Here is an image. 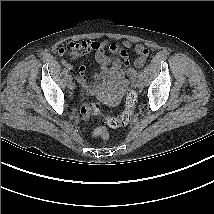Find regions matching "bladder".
Here are the masks:
<instances>
[{
  "label": "bladder",
  "mask_w": 214,
  "mask_h": 214,
  "mask_svg": "<svg viewBox=\"0 0 214 214\" xmlns=\"http://www.w3.org/2000/svg\"><path fill=\"white\" fill-rule=\"evenodd\" d=\"M109 78H106L104 81H103V84H104V86H106V87H110L111 88V84L113 85V82L115 81V80H113L114 78H115V76L113 77V75H111L110 74V76H108Z\"/></svg>",
  "instance_id": "31cf9c89"
}]
</instances>
